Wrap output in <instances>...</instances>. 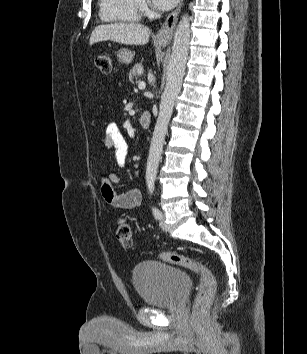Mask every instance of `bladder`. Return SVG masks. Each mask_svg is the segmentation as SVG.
I'll return each instance as SVG.
<instances>
[{
  "label": "bladder",
  "instance_id": "1",
  "mask_svg": "<svg viewBox=\"0 0 307 354\" xmlns=\"http://www.w3.org/2000/svg\"><path fill=\"white\" fill-rule=\"evenodd\" d=\"M132 280L142 301L157 307H177L191 288L188 273L155 260L138 263L132 271Z\"/></svg>",
  "mask_w": 307,
  "mask_h": 354
}]
</instances>
